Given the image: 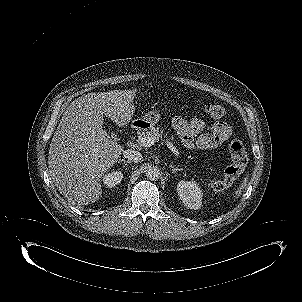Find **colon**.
<instances>
[{"label": "colon", "instance_id": "5ec220e1", "mask_svg": "<svg viewBox=\"0 0 302 302\" xmlns=\"http://www.w3.org/2000/svg\"><path fill=\"white\" fill-rule=\"evenodd\" d=\"M203 111L212 118H221L226 113L222 105L213 103L203 105ZM229 150L233 164L226 169L224 182L215 180L209 182V187L214 190H221L226 184L233 181L246 163V152L241 141H232Z\"/></svg>", "mask_w": 302, "mask_h": 302}]
</instances>
